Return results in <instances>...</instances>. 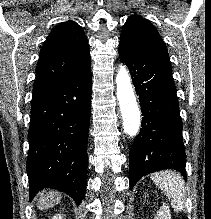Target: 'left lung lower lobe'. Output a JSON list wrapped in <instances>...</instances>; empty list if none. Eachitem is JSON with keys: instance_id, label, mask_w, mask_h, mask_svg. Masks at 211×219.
Wrapping results in <instances>:
<instances>
[{"instance_id": "left-lung-lower-lobe-1", "label": "left lung lower lobe", "mask_w": 211, "mask_h": 219, "mask_svg": "<svg viewBox=\"0 0 211 219\" xmlns=\"http://www.w3.org/2000/svg\"><path fill=\"white\" fill-rule=\"evenodd\" d=\"M119 57L130 69L144 116L130 149V189L141 177L166 168L186 178L182 120L169 55L120 42Z\"/></svg>"}]
</instances>
